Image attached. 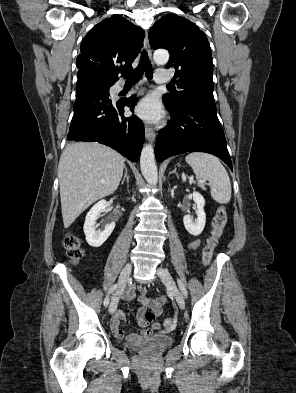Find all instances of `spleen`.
Listing matches in <instances>:
<instances>
[{
    "label": "spleen",
    "instance_id": "spleen-1",
    "mask_svg": "<svg viewBox=\"0 0 296 393\" xmlns=\"http://www.w3.org/2000/svg\"><path fill=\"white\" fill-rule=\"evenodd\" d=\"M195 175L209 182L212 198L221 204L231 199V183L226 169L213 155L194 152L185 158Z\"/></svg>",
    "mask_w": 296,
    "mask_h": 393
}]
</instances>
